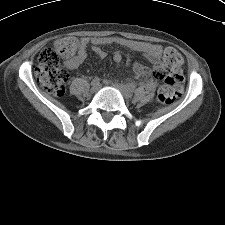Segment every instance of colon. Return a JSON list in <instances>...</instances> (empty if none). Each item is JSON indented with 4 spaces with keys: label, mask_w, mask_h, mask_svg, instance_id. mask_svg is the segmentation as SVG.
Listing matches in <instances>:
<instances>
[{
    "label": "colon",
    "mask_w": 225,
    "mask_h": 225,
    "mask_svg": "<svg viewBox=\"0 0 225 225\" xmlns=\"http://www.w3.org/2000/svg\"><path fill=\"white\" fill-rule=\"evenodd\" d=\"M76 48L75 38L64 37L40 53L36 76L41 86L50 95L61 97L64 94L68 80L64 64L74 61ZM183 63V55L176 49L169 48L164 52L162 64L154 68L153 77L164 82L157 92L156 101L158 104L168 106L182 94L184 77L179 68Z\"/></svg>",
    "instance_id": "colon-1"
}]
</instances>
